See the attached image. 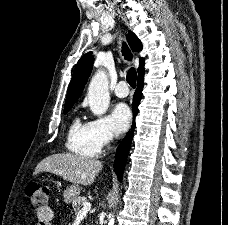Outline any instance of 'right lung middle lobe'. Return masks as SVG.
<instances>
[{"label": "right lung middle lobe", "mask_w": 228, "mask_h": 225, "mask_svg": "<svg viewBox=\"0 0 228 225\" xmlns=\"http://www.w3.org/2000/svg\"><path fill=\"white\" fill-rule=\"evenodd\" d=\"M72 106L73 105L64 107V114H66L71 109Z\"/></svg>", "instance_id": "right-lung-middle-lobe-1"}]
</instances>
